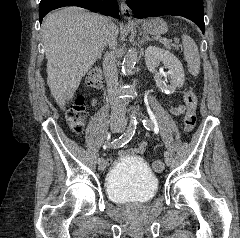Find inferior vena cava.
<instances>
[{
  "instance_id": "1",
  "label": "inferior vena cava",
  "mask_w": 240,
  "mask_h": 238,
  "mask_svg": "<svg viewBox=\"0 0 240 238\" xmlns=\"http://www.w3.org/2000/svg\"><path fill=\"white\" fill-rule=\"evenodd\" d=\"M98 24L103 27V29H107L111 24V20L106 17L98 16L97 17ZM103 73L107 82V90L108 96L112 109V116L115 119H120L121 121H125V110L124 103L118 97V74L117 67L115 63V55L113 52H106L103 58Z\"/></svg>"
}]
</instances>
